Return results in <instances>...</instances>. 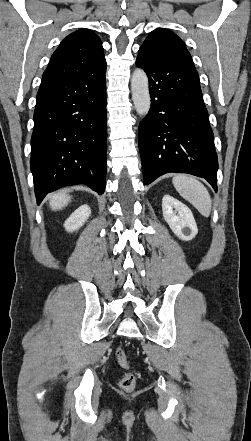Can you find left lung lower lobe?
<instances>
[{
	"instance_id": "1",
	"label": "left lung lower lobe",
	"mask_w": 251,
	"mask_h": 441,
	"mask_svg": "<svg viewBox=\"0 0 251 441\" xmlns=\"http://www.w3.org/2000/svg\"><path fill=\"white\" fill-rule=\"evenodd\" d=\"M136 65L148 75L151 96L138 131L144 183L169 172L189 173L217 191L218 159L196 69L140 50Z\"/></svg>"
}]
</instances>
